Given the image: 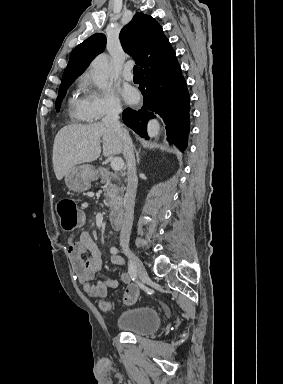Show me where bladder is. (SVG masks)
Instances as JSON below:
<instances>
[{"mask_svg":"<svg viewBox=\"0 0 283 384\" xmlns=\"http://www.w3.org/2000/svg\"><path fill=\"white\" fill-rule=\"evenodd\" d=\"M162 324V317L156 306L144 304L124 309L115 321V327L138 336L154 333Z\"/></svg>","mask_w":283,"mask_h":384,"instance_id":"31cf9c89","label":"bladder"}]
</instances>
